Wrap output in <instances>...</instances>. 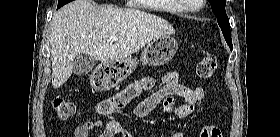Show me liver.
<instances>
[{"instance_id":"obj_1","label":"liver","mask_w":280,"mask_h":137,"mask_svg":"<svg viewBox=\"0 0 280 137\" xmlns=\"http://www.w3.org/2000/svg\"><path fill=\"white\" fill-rule=\"evenodd\" d=\"M52 86H62L72 75L75 56L87 53L107 62L126 59L151 41L175 33L166 20L137 9L98 7L75 0L53 16L50 23ZM117 36L114 44L110 38Z\"/></svg>"}]
</instances>
